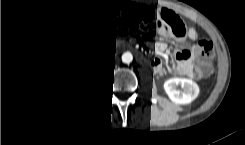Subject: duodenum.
<instances>
[{"mask_svg":"<svg viewBox=\"0 0 245 145\" xmlns=\"http://www.w3.org/2000/svg\"><path fill=\"white\" fill-rule=\"evenodd\" d=\"M136 58H137L138 60H140V61L142 60L141 57H140L139 55H136Z\"/></svg>","mask_w":245,"mask_h":145,"instance_id":"1","label":"duodenum"}]
</instances>
